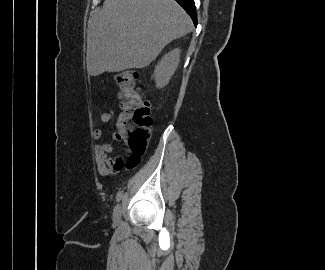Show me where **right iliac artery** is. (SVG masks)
Returning a JSON list of instances; mask_svg holds the SVG:
<instances>
[{
  "label": "right iliac artery",
  "mask_w": 325,
  "mask_h": 270,
  "mask_svg": "<svg viewBox=\"0 0 325 270\" xmlns=\"http://www.w3.org/2000/svg\"><path fill=\"white\" fill-rule=\"evenodd\" d=\"M122 196H123V193L121 191L118 192L116 195V201L119 202L121 200Z\"/></svg>",
  "instance_id": "82829eb1"
}]
</instances>
